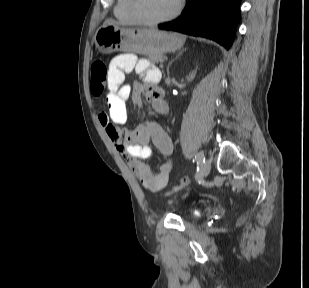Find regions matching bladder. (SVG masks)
I'll list each match as a JSON object with an SVG mask.
<instances>
[{
    "label": "bladder",
    "mask_w": 309,
    "mask_h": 288,
    "mask_svg": "<svg viewBox=\"0 0 309 288\" xmlns=\"http://www.w3.org/2000/svg\"><path fill=\"white\" fill-rule=\"evenodd\" d=\"M199 215V213H195V216H198Z\"/></svg>",
    "instance_id": "1"
}]
</instances>
